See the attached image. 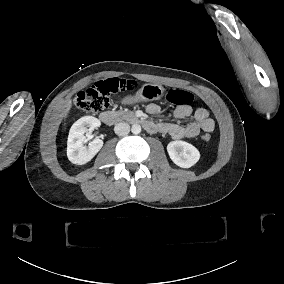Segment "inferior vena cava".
I'll return each mask as SVG.
<instances>
[{"label": "inferior vena cava", "instance_id": "inferior-vena-cava-1", "mask_svg": "<svg viewBox=\"0 0 284 284\" xmlns=\"http://www.w3.org/2000/svg\"><path fill=\"white\" fill-rule=\"evenodd\" d=\"M130 131L128 123L120 122L114 126V132L119 136H126Z\"/></svg>", "mask_w": 284, "mask_h": 284}]
</instances>
